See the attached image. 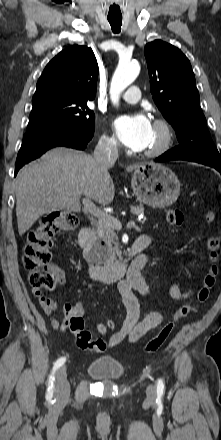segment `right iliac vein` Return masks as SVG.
<instances>
[{
    "label": "right iliac vein",
    "instance_id": "right-iliac-vein-1",
    "mask_svg": "<svg viewBox=\"0 0 221 440\" xmlns=\"http://www.w3.org/2000/svg\"><path fill=\"white\" fill-rule=\"evenodd\" d=\"M58 397L67 399L70 395V385L67 380L66 367H61L57 372Z\"/></svg>",
    "mask_w": 221,
    "mask_h": 440
}]
</instances>
